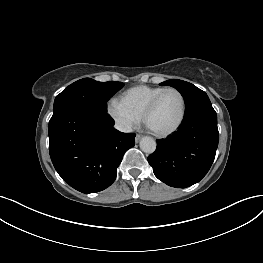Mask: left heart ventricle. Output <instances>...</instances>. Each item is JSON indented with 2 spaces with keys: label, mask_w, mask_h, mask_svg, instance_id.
I'll list each match as a JSON object with an SVG mask.
<instances>
[{
  "label": "left heart ventricle",
  "mask_w": 263,
  "mask_h": 263,
  "mask_svg": "<svg viewBox=\"0 0 263 263\" xmlns=\"http://www.w3.org/2000/svg\"><path fill=\"white\" fill-rule=\"evenodd\" d=\"M182 110L180 96L169 91L162 96L154 111L148 118L150 128L163 131L171 128L179 119Z\"/></svg>",
  "instance_id": "obj_1"
}]
</instances>
